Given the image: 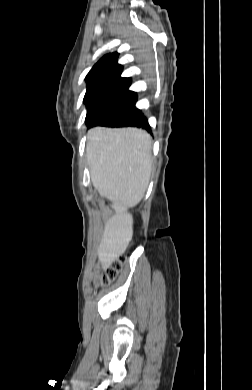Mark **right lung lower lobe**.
I'll return each mask as SVG.
<instances>
[{
    "label": "right lung lower lobe",
    "mask_w": 252,
    "mask_h": 390,
    "mask_svg": "<svg viewBox=\"0 0 252 390\" xmlns=\"http://www.w3.org/2000/svg\"><path fill=\"white\" fill-rule=\"evenodd\" d=\"M101 126H106V127L131 126V127L143 128L149 132L151 131L147 119L144 117L141 111L134 106L125 110L121 114L113 117L112 119L105 122Z\"/></svg>",
    "instance_id": "98d812e1"
}]
</instances>
